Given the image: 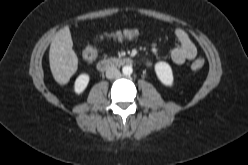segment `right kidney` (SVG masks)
I'll use <instances>...</instances> for the list:
<instances>
[{"label": "right kidney", "mask_w": 248, "mask_h": 165, "mask_svg": "<svg viewBox=\"0 0 248 165\" xmlns=\"http://www.w3.org/2000/svg\"><path fill=\"white\" fill-rule=\"evenodd\" d=\"M90 77L88 74H81L77 77L74 83V91L76 94H81L87 87Z\"/></svg>", "instance_id": "1"}]
</instances>
